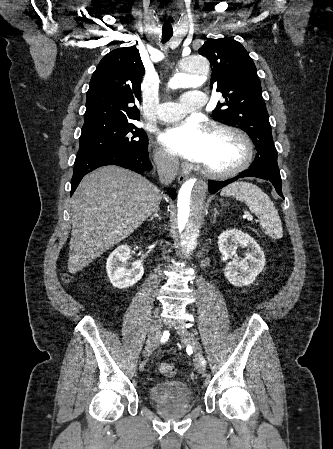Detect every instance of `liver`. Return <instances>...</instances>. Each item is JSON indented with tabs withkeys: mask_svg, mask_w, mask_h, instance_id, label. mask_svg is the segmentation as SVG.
<instances>
[{
	"mask_svg": "<svg viewBox=\"0 0 333 449\" xmlns=\"http://www.w3.org/2000/svg\"><path fill=\"white\" fill-rule=\"evenodd\" d=\"M162 200L147 179L115 165L86 175L71 201L69 268L82 270L104 251L127 238Z\"/></svg>",
	"mask_w": 333,
	"mask_h": 449,
	"instance_id": "obj_1",
	"label": "liver"
}]
</instances>
